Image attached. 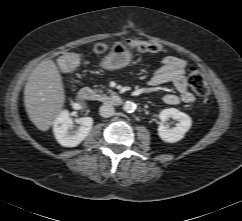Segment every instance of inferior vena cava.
I'll return each mask as SVG.
<instances>
[{
    "instance_id": "602c4592",
    "label": "inferior vena cava",
    "mask_w": 242,
    "mask_h": 221,
    "mask_svg": "<svg viewBox=\"0 0 242 221\" xmlns=\"http://www.w3.org/2000/svg\"><path fill=\"white\" fill-rule=\"evenodd\" d=\"M114 107L111 104L105 103L99 109V114L104 117L108 118L114 114Z\"/></svg>"
}]
</instances>
